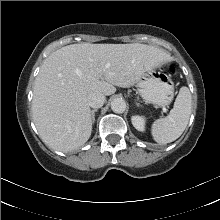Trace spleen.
I'll return each instance as SVG.
<instances>
[{
  "label": "spleen",
  "instance_id": "3e777b00",
  "mask_svg": "<svg viewBox=\"0 0 220 220\" xmlns=\"http://www.w3.org/2000/svg\"><path fill=\"white\" fill-rule=\"evenodd\" d=\"M192 108V96L185 86L180 88L170 114L157 119L151 126L153 139L160 144H167L178 139L187 127Z\"/></svg>",
  "mask_w": 220,
  "mask_h": 220
}]
</instances>
